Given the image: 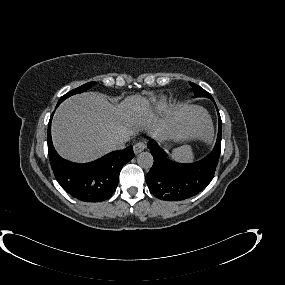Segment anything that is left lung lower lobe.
I'll use <instances>...</instances> for the list:
<instances>
[{
  "label": "left lung lower lobe",
  "mask_w": 285,
  "mask_h": 285,
  "mask_svg": "<svg viewBox=\"0 0 285 285\" xmlns=\"http://www.w3.org/2000/svg\"><path fill=\"white\" fill-rule=\"evenodd\" d=\"M213 102V98L211 99ZM215 103V102H214ZM216 105V104H215ZM219 128L215 147L208 157L193 164H179L166 158L155 140L148 143L154 164L146 175L149 190L157 198L179 201L195 196L213 179L221 152L222 123L219 111Z\"/></svg>",
  "instance_id": "0a47b994"
}]
</instances>
